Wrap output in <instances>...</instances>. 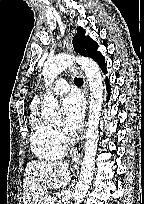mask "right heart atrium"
<instances>
[{
	"mask_svg": "<svg viewBox=\"0 0 144 204\" xmlns=\"http://www.w3.org/2000/svg\"><path fill=\"white\" fill-rule=\"evenodd\" d=\"M55 136H56V138H57V140H58V142H59L60 144H63V143L65 142L64 136H63L62 133L59 132L58 130H55Z\"/></svg>",
	"mask_w": 144,
	"mask_h": 204,
	"instance_id": "obj_1",
	"label": "right heart atrium"
}]
</instances>
